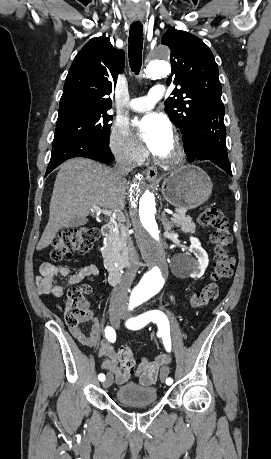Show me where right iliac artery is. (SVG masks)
I'll return each instance as SVG.
<instances>
[{"mask_svg":"<svg viewBox=\"0 0 271 459\" xmlns=\"http://www.w3.org/2000/svg\"><path fill=\"white\" fill-rule=\"evenodd\" d=\"M104 331H105V337L108 339V341L114 343L115 340H116V333H115V330H114L112 327L107 326V327L105 328ZM98 379H99L100 381H104V380H105V375L102 374V373L99 374V375H98Z\"/></svg>","mask_w":271,"mask_h":459,"instance_id":"right-iliac-artery-1","label":"right iliac artery"}]
</instances>
